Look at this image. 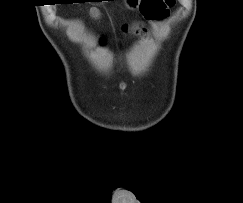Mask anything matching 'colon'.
Segmentation results:
<instances>
[{
	"label": "colon",
	"instance_id": "5ec220e1",
	"mask_svg": "<svg viewBox=\"0 0 243 203\" xmlns=\"http://www.w3.org/2000/svg\"><path fill=\"white\" fill-rule=\"evenodd\" d=\"M175 4L176 0H142L140 12L146 21L159 26L166 20L169 10ZM146 31L143 21H133L123 26L124 34L130 39L135 36H144ZM102 45H104V42H102Z\"/></svg>",
	"mask_w": 243,
	"mask_h": 203
}]
</instances>
